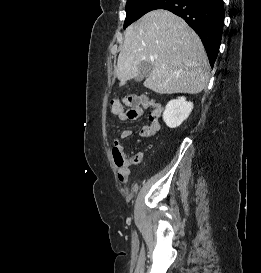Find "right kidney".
<instances>
[{
    "instance_id": "obj_1",
    "label": "right kidney",
    "mask_w": 261,
    "mask_h": 273,
    "mask_svg": "<svg viewBox=\"0 0 261 273\" xmlns=\"http://www.w3.org/2000/svg\"><path fill=\"white\" fill-rule=\"evenodd\" d=\"M192 109L193 103L187 102L185 97L171 100L165 107L163 120L169 128H176L188 118Z\"/></svg>"
}]
</instances>
